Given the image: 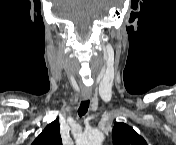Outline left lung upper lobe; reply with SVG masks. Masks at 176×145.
I'll use <instances>...</instances> for the list:
<instances>
[{
  "label": "left lung upper lobe",
  "mask_w": 176,
  "mask_h": 145,
  "mask_svg": "<svg viewBox=\"0 0 176 145\" xmlns=\"http://www.w3.org/2000/svg\"><path fill=\"white\" fill-rule=\"evenodd\" d=\"M112 134L114 145H147L144 138L125 123L116 122Z\"/></svg>",
  "instance_id": "left-lung-upper-lobe-1"
}]
</instances>
